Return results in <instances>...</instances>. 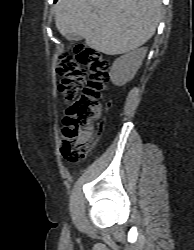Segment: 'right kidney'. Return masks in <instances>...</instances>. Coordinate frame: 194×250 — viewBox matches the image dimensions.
<instances>
[{
    "instance_id": "ca27d5eb",
    "label": "right kidney",
    "mask_w": 194,
    "mask_h": 250,
    "mask_svg": "<svg viewBox=\"0 0 194 250\" xmlns=\"http://www.w3.org/2000/svg\"><path fill=\"white\" fill-rule=\"evenodd\" d=\"M147 53V48L136 49L116 59L111 67L109 76L116 86H123L132 80L142 65Z\"/></svg>"
}]
</instances>
